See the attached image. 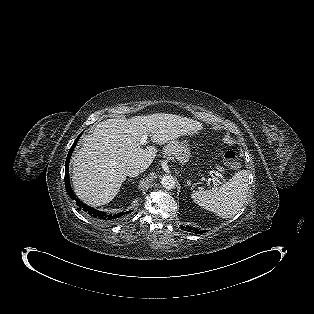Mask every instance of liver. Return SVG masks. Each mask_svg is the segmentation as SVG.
<instances>
[{"mask_svg": "<svg viewBox=\"0 0 314 314\" xmlns=\"http://www.w3.org/2000/svg\"><path fill=\"white\" fill-rule=\"evenodd\" d=\"M201 129L200 122L166 113L100 122L72 158L76 195L92 206L109 203L126 180L128 165H141L145 171L156 157L154 146L141 148L143 135L162 145Z\"/></svg>", "mask_w": 314, "mask_h": 314, "instance_id": "6515ba94", "label": "liver"}]
</instances>
